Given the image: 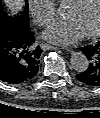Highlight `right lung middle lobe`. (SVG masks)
I'll use <instances>...</instances> for the list:
<instances>
[{"label": "right lung middle lobe", "instance_id": "dd1d6c3e", "mask_svg": "<svg viewBox=\"0 0 100 118\" xmlns=\"http://www.w3.org/2000/svg\"><path fill=\"white\" fill-rule=\"evenodd\" d=\"M29 15H28V3L26 1L25 9L19 15H9L0 6V32L8 30L14 34H20L29 28L28 25Z\"/></svg>", "mask_w": 100, "mask_h": 118}]
</instances>
